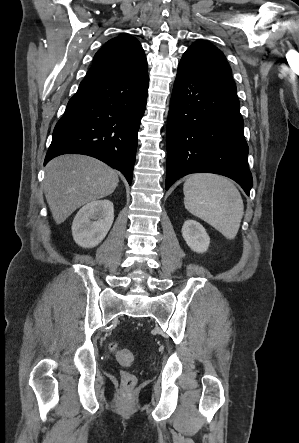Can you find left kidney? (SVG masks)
<instances>
[{
  "label": "left kidney",
  "instance_id": "obj_1",
  "mask_svg": "<svg viewBox=\"0 0 299 443\" xmlns=\"http://www.w3.org/2000/svg\"><path fill=\"white\" fill-rule=\"evenodd\" d=\"M182 236L194 252L204 253L207 251L210 237L199 222L195 220L185 221L182 227Z\"/></svg>",
  "mask_w": 299,
  "mask_h": 443
}]
</instances>
